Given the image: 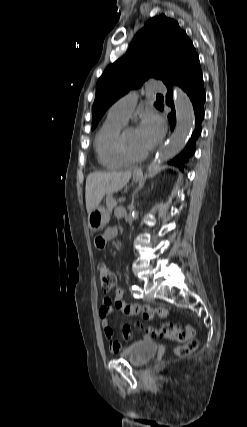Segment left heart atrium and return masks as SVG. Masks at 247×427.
Wrapping results in <instances>:
<instances>
[{
	"mask_svg": "<svg viewBox=\"0 0 247 427\" xmlns=\"http://www.w3.org/2000/svg\"><path fill=\"white\" fill-rule=\"evenodd\" d=\"M165 130L166 126L164 120L153 112L144 114L138 127L139 135L148 149L156 145L162 139Z\"/></svg>",
	"mask_w": 247,
	"mask_h": 427,
	"instance_id": "obj_1",
	"label": "left heart atrium"
}]
</instances>
